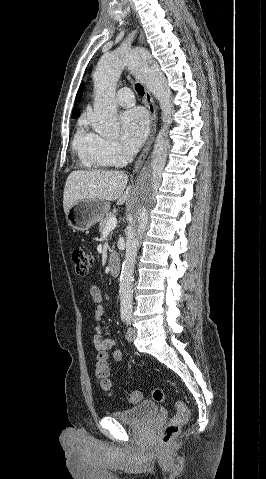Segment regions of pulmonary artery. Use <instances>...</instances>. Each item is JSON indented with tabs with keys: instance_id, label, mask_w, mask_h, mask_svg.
<instances>
[{
	"instance_id": "pulmonary-artery-1",
	"label": "pulmonary artery",
	"mask_w": 266,
	"mask_h": 479,
	"mask_svg": "<svg viewBox=\"0 0 266 479\" xmlns=\"http://www.w3.org/2000/svg\"><path fill=\"white\" fill-rule=\"evenodd\" d=\"M117 102L124 107H130L134 105V94L129 87L121 88L117 94Z\"/></svg>"
}]
</instances>
